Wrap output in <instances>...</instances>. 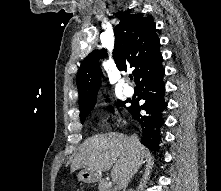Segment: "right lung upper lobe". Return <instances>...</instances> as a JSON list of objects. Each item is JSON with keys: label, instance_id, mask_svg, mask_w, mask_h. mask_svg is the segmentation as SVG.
<instances>
[{"label": "right lung upper lobe", "instance_id": "cb5924a9", "mask_svg": "<svg viewBox=\"0 0 221 191\" xmlns=\"http://www.w3.org/2000/svg\"><path fill=\"white\" fill-rule=\"evenodd\" d=\"M113 58L119 70L134 68L136 80L161 57L160 42L155 23L143 14L126 13L114 29ZM107 57V51L94 50L81 63L77 73L80 114L94 108L103 75L99 58Z\"/></svg>", "mask_w": 221, "mask_h": 191}]
</instances>
